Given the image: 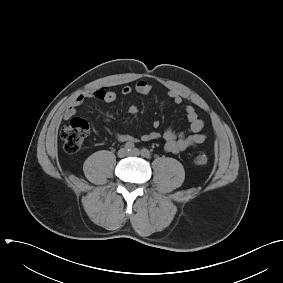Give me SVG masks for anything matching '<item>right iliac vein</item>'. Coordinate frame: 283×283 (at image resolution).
<instances>
[{"instance_id":"1","label":"right iliac vein","mask_w":283,"mask_h":283,"mask_svg":"<svg viewBox=\"0 0 283 283\" xmlns=\"http://www.w3.org/2000/svg\"><path fill=\"white\" fill-rule=\"evenodd\" d=\"M117 154H118V156H119L120 158L125 157V156L128 155V150L125 149V148H121V149L118 151Z\"/></svg>"}]
</instances>
